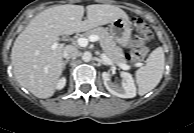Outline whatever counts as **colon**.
<instances>
[{
	"label": "colon",
	"instance_id": "colon-1",
	"mask_svg": "<svg viewBox=\"0 0 194 133\" xmlns=\"http://www.w3.org/2000/svg\"><path fill=\"white\" fill-rule=\"evenodd\" d=\"M133 28L140 37L144 39L151 37V31L142 18L135 17L133 19ZM146 54H141L136 50V46H134V48L127 54V59L131 63L136 64L140 62L146 56Z\"/></svg>",
	"mask_w": 194,
	"mask_h": 133
}]
</instances>
